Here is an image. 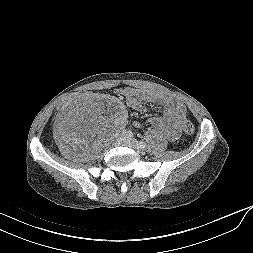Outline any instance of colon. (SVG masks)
Instances as JSON below:
<instances>
[{"label": "colon", "instance_id": "5ec220e1", "mask_svg": "<svg viewBox=\"0 0 253 253\" xmlns=\"http://www.w3.org/2000/svg\"><path fill=\"white\" fill-rule=\"evenodd\" d=\"M93 94L91 89L79 90L76 92H69L68 96L65 97V100L57 104V109L59 111H65L71 104L74 99L90 97ZM183 130L186 134L192 135L195 131L194 125L190 121H184Z\"/></svg>", "mask_w": 253, "mask_h": 253}]
</instances>
